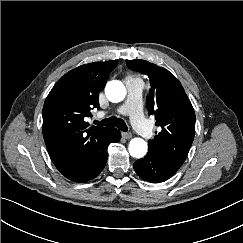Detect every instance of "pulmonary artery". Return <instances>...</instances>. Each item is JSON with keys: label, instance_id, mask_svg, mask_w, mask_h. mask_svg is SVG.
Instances as JSON below:
<instances>
[{"label": "pulmonary artery", "instance_id": "1", "mask_svg": "<svg viewBox=\"0 0 243 243\" xmlns=\"http://www.w3.org/2000/svg\"><path fill=\"white\" fill-rule=\"evenodd\" d=\"M126 88L128 91L127 100L117 109V112L122 115H129L134 128L145 139L152 137V129L143 117L141 110V95L143 83L137 79H127ZM102 115V113H99Z\"/></svg>", "mask_w": 243, "mask_h": 243}]
</instances>
